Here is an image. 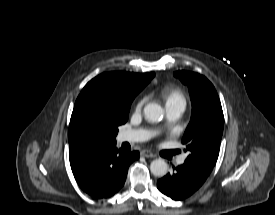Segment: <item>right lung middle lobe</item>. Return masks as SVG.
<instances>
[{
  "instance_id": "1",
  "label": "right lung middle lobe",
  "mask_w": 275,
  "mask_h": 215,
  "mask_svg": "<svg viewBox=\"0 0 275 215\" xmlns=\"http://www.w3.org/2000/svg\"><path fill=\"white\" fill-rule=\"evenodd\" d=\"M128 115L129 113L124 120H119L99 111L86 112L76 122L73 136L81 147L95 143L115 141L118 126L127 121Z\"/></svg>"
}]
</instances>
